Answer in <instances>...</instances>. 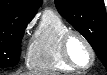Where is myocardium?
Returning <instances> with one entry per match:
<instances>
[{
    "label": "myocardium",
    "mask_w": 107,
    "mask_h": 75,
    "mask_svg": "<svg viewBox=\"0 0 107 75\" xmlns=\"http://www.w3.org/2000/svg\"><path fill=\"white\" fill-rule=\"evenodd\" d=\"M73 37L80 38L85 43L87 48L89 49V52L91 55V60H90V63L86 66L78 65L77 63H75L73 61V59L70 56L69 42H70L71 38H73ZM60 50H61V55H62L64 62L73 69L81 70V71L89 70L95 63L96 53H95V50H94L92 44L82 33L78 32L76 30H68L63 34V36L61 38V42H60Z\"/></svg>",
    "instance_id": "myocardium-1"
}]
</instances>
